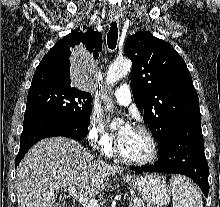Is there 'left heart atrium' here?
I'll list each match as a JSON object with an SVG mask.
<instances>
[{
    "instance_id": "left-heart-atrium-1",
    "label": "left heart atrium",
    "mask_w": 220,
    "mask_h": 207,
    "mask_svg": "<svg viewBox=\"0 0 220 207\" xmlns=\"http://www.w3.org/2000/svg\"><path fill=\"white\" fill-rule=\"evenodd\" d=\"M132 129H133L132 125L130 123H127L119 132L118 138L125 134H128Z\"/></svg>"
}]
</instances>
